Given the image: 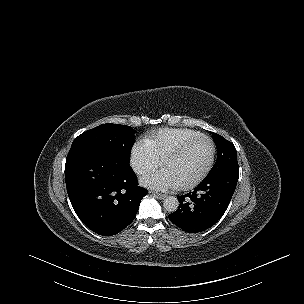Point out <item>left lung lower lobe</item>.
<instances>
[{
    "mask_svg": "<svg viewBox=\"0 0 304 304\" xmlns=\"http://www.w3.org/2000/svg\"><path fill=\"white\" fill-rule=\"evenodd\" d=\"M238 178V166L207 176L193 192L177 197L180 206L169 215L170 221L189 233L210 228L225 213Z\"/></svg>",
    "mask_w": 304,
    "mask_h": 304,
    "instance_id": "left-lung-lower-lobe-1",
    "label": "left lung lower lobe"
}]
</instances>
